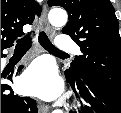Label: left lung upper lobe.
I'll return each instance as SVG.
<instances>
[{
	"mask_svg": "<svg viewBox=\"0 0 121 113\" xmlns=\"http://www.w3.org/2000/svg\"><path fill=\"white\" fill-rule=\"evenodd\" d=\"M49 6H61L69 15L62 32L81 48L67 78L84 77L103 81L121 93V38L118 20L109 0H48Z\"/></svg>",
	"mask_w": 121,
	"mask_h": 113,
	"instance_id": "5c2ea615",
	"label": "left lung upper lobe"
}]
</instances>
